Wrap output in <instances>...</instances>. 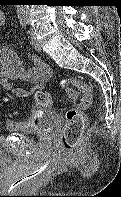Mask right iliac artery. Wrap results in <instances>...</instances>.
Here are the masks:
<instances>
[{
    "label": "right iliac artery",
    "mask_w": 121,
    "mask_h": 197,
    "mask_svg": "<svg viewBox=\"0 0 121 197\" xmlns=\"http://www.w3.org/2000/svg\"><path fill=\"white\" fill-rule=\"evenodd\" d=\"M27 22L23 21L22 26H26Z\"/></svg>",
    "instance_id": "obj_1"
}]
</instances>
